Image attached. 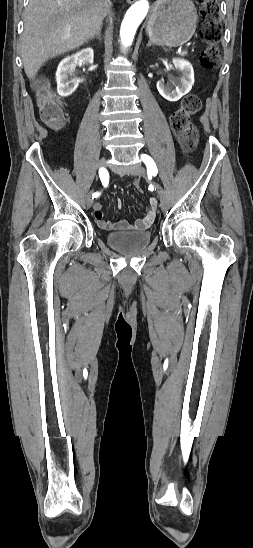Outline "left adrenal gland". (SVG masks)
I'll list each match as a JSON object with an SVG mask.
<instances>
[{"label":"left adrenal gland","mask_w":253,"mask_h":548,"mask_svg":"<svg viewBox=\"0 0 253 548\" xmlns=\"http://www.w3.org/2000/svg\"><path fill=\"white\" fill-rule=\"evenodd\" d=\"M150 46H152V43L148 42L147 47H150Z\"/></svg>","instance_id":"left-adrenal-gland-1"}]
</instances>
